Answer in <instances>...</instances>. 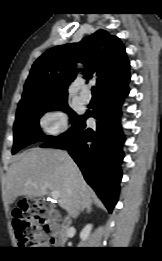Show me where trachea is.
<instances>
[{"instance_id":"1","label":"trachea","mask_w":162,"mask_h":261,"mask_svg":"<svg viewBox=\"0 0 162 261\" xmlns=\"http://www.w3.org/2000/svg\"><path fill=\"white\" fill-rule=\"evenodd\" d=\"M92 94L98 95V88L96 86L92 87Z\"/></svg>"}]
</instances>
